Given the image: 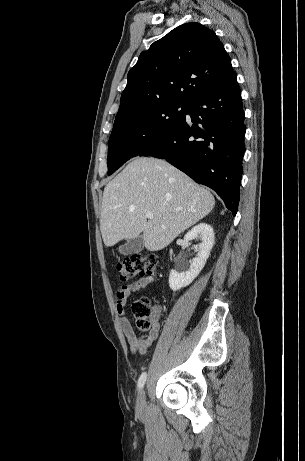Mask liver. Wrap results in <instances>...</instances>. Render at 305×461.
Segmentation results:
<instances>
[{
    "label": "liver",
    "mask_w": 305,
    "mask_h": 461,
    "mask_svg": "<svg viewBox=\"0 0 305 461\" xmlns=\"http://www.w3.org/2000/svg\"><path fill=\"white\" fill-rule=\"evenodd\" d=\"M215 199L186 174L156 158L137 157L104 188L100 230L105 246L141 233L149 251L168 246L207 216ZM153 213V218L145 216Z\"/></svg>",
    "instance_id": "1"
}]
</instances>
